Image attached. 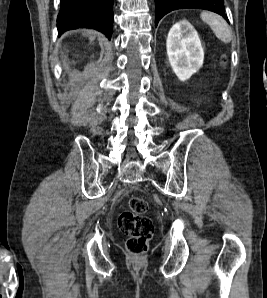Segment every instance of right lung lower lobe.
Instances as JSON below:
<instances>
[{"label":"right lung lower lobe","mask_w":267,"mask_h":298,"mask_svg":"<svg viewBox=\"0 0 267 298\" xmlns=\"http://www.w3.org/2000/svg\"><path fill=\"white\" fill-rule=\"evenodd\" d=\"M114 0H61L57 18L58 35L68 30L87 27L112 35Z\"/></svg>","instance_id":"obj_1"}]
</instances>
